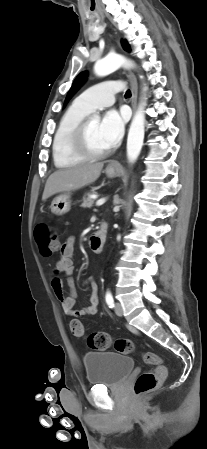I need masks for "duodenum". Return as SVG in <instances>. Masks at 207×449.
I'll list each match as a JSON object with an SVG mask.
<instances>
[{"label":"duodenum","mask_w":207,"mask_h":449,"mask_svg":"<svg viewBox=\"0 0 207 449\" xmlns=\"http://www.w3.org/2000/svg\"><path fill=\"white\" fill-rule=\"evenodd\" d=\"M106 232V225L102 223L99 229L90 236V246L94 252L99 253L103 250L106 242Z\"/></svg>","instance_id":"1"}]
</instances>
